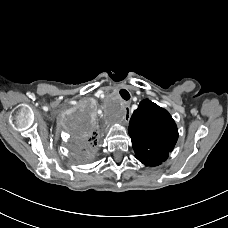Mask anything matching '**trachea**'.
Wrapping results in <instances>:
<instances>
[{"instance_id":"3493384b","label":"trachea","mask_w":228,"mask_h":228,"mask_svg":"<svg viewBox=\"0 0 228 228\" xmlns=\"http://www.w3.org/2000/svg\"><path fill=\"white\" fill-rule=\"evenodd\" d=\"M119 93L124 100L130 99V94L125 89H121Z\"/></svg>"}]
</instances>
